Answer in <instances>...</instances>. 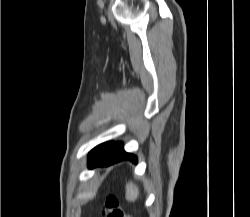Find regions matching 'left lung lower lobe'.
<instances>
[{"mask_svg":"<svg viewBox=\"0 0 250 217\" xmlns=\"http://www.w3.org/2000/svg\"><path fill=\"white\" fill-rule=\"evenodd\" d=\"M122 160L137 162L135 155L126 153L122 143L107 142L98 145L88 155V166L93 168L97 165L108 166Z\"/></svg>","mask_w":250,"mask_h":217,"instance_id":"0a47b994","label":"left lung lower lobe"}]
</instances>
